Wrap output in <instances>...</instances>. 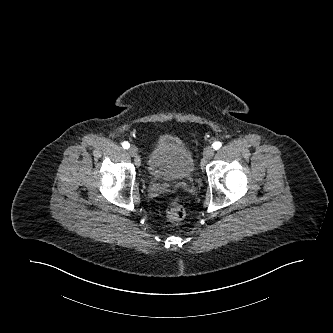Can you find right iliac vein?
<instances>
[{
	"mask_svg": "<svg viewBox=\"0 0 333 333\" xmlns=\"http://www.w3.org/2000/svg\"><path fill=\"white\" fill-rule=\"evenodd\" d=\"M128 152H129V154H130L132 157H134V156L137 155V153H138V149H137L136 146L131 145V146L129 147V149H128Z\"/></svg>",
	"mask_w": 333,
	"mask_h": 333,
	"instance_id": "1",
	"label": "right iliac vein"
}]
</instances>
